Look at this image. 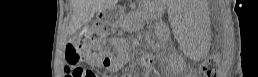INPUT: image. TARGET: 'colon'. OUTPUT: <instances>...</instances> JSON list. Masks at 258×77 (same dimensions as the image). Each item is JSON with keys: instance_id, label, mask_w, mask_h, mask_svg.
<instances>
[{"instance_id": "obj_1", "label": "colon", "mask_w": 258, "mask_h": 77, "mask_svg": "<svg viewBox=\"0 0 258 77\" xmlns=\"http://www.w3.org/2000/svg\"><path fill=\"white\" fill-rule=\"evenodd\" d=\"M106 27L101 21H94L81 29L80 39L82 45L88 49H99L105 44ZM82 51L76 45H70L66 50V70L70 77H87L80 66ZM143 65L151 68L153 60L145 58ZM219 65V58L215 54L207 56L201 63V68L206 74H214Z\"/></svg>"}]
</instances>
